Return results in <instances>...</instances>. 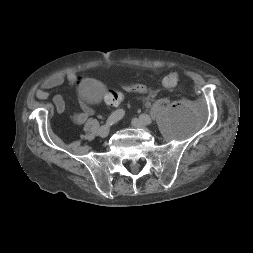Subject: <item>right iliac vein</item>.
Listing matches in <instances>:
<instances>
[{"label":"right iliac vein","instance_id":"63e3f726","mask_svg":"<svg viewBox=\"0 0 253 253\" xmlns=\"http://www.w3.org/2000/svg\"><path fill=\"white\" fill-rule=\"evenodd\" d=\"M109 131H110V125L106 124L100 128L99 136L102 138H106L109 134Z\"/></svg>","mask_w":253,"mask_h":253}]
</instances>
